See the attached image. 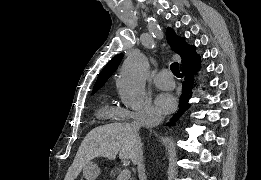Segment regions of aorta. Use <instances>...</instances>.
Returning <instances> with one entry per match:
<instances>
[{
	"label": "aorta",
	"instance_id": "1",
	"mask_svg": "<svg viewBox=\"0 0 261 180\" xmlns=\"http://www.w3.org/2000/svg\"><path fill=\"white\" fill-rule=\"evenodd\" d=\"M148 67V60L141 53H131L123 62L117 88L122 103L133 110L144 105Z\"/></svg>",
	"mask_w": 261,
	"mask_h": 180
}]
</instances>
